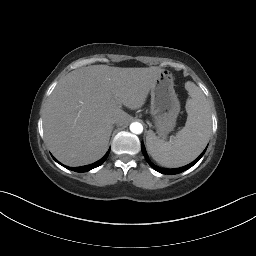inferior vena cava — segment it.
Segmentation results:
<instances>
[{
    "mask_svg": "<svg viewBox=\"0 0 256 256\" xmlns=\"http://www.w3.org/2000/svg\"><path fill=\"white\" fill-rule=\"evenodd\" d=\"M111 124L113 126H119L121 124V119L119 117H113L111 119Z\"/></svg>",
    "mask_w": 256,
    "mask_h": 256,
    "instance_id": "inferior-vena-cava-1",
    "label": "inferior vena cava"
}]
</instances>
